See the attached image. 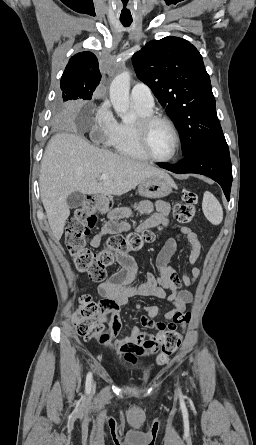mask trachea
<instances>
[{
    "label": "trachea",
    "instance_id": "1",
    "mask_svg": "<svg viewBox=\"0 0 256 445\" xmlns=\"http://www.w3.org/2000/svg\"><path fill=\"white\" fill-rule=\"evenodd\" d=\"M121 23L123 24V26L128 27L131 25L132 20H121Z\"/></svg>",
    "mask_w": 256,
    "mask_h": 445
}]
</instances>
